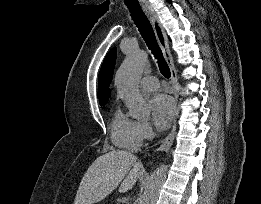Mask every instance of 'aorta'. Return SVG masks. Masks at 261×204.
Listing matches in <instances>:
<instances>
[{"label":"aorta","instance_id":"aorta-1","mask_svg":"<svg viewBox=\"0 0 261 204\" xmlns=\"http://www.w3.org/2000/svg\"><path fill=\"white\" fill-rule=\"evenodd\" d=\"M148 64V54L143 50H134L128 54L115 77L120 97L124 100L129 115L135 119L147 118L150 106L139 91V79ZM168 167L162 165L150 176L141 195L140 204H155L160 189L166 180Z\"/></svg>","mask_w":261,"mask_h":204}]
</instances>
